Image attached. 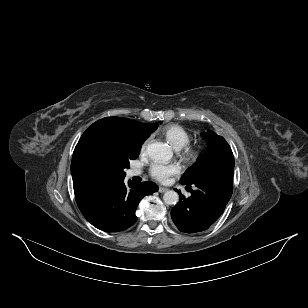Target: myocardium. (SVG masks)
<instances>
[{"instance_id": "f54148a6", "label": "myocardium", "mask_w": 308, "mask_h": 308, "mask_svg": "<svg viewBox=\"0 0 308 308\" xmlns=\"http://www.w3.org/2000/svg\"><path fill=\"white\" fill-rule=\"evenodd\" d=\"M181 156L186 162H194L200 156V147L187 144L181 149Z\"/></svg>"}]
</instances>
